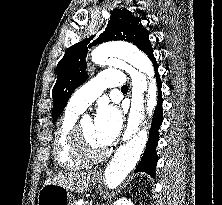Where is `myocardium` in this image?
Wrapping results in <instances>:
<instances>
[{
	"label": "myocardium",
	"instance_id": "obj_1",
	"mask_svg": "<svg viewBox=\"0 0 222 205\" xmlns=\"http://www.w3.org/2000/svg\"><path fill=\"white\" fill-rule=\"evenodd\" d=\"M70 144L73 154L83 163H96L107 155L106 149L97 152L89 150L82 135L81 122L74 124L70 135Z\"/></svg>",
	"mask_w": 222,
	"mask_h": 205
}]
</instances>
